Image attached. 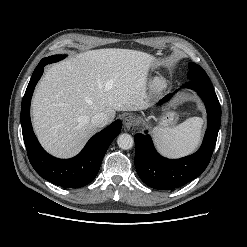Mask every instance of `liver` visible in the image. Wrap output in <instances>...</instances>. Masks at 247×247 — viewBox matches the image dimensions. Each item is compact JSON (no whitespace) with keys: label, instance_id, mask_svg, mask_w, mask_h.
Wrapping results in <instances>:
<instances>
[{"label":"liver","instance_id":"6515ba94","mask_svg":"<svg viewBox=\"0 0 247 247\" xmlns=\"http://www.w3.org/2000/svg\"><path fill=\"white\" fill-rule=\"evenodd\" d=\"M153 57L129 49H98L51 66L32 100V122L41 145L59 158L75 156L97 132L91 119L103 112L138 111L150 103L146 81Z\"/></svg>","mask_w":247,"mask_h":247}]
</instances>
